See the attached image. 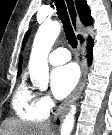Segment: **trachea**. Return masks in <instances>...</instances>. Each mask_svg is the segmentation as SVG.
<instances>
[{"mask_svg": "<svg viewBox=\"0 0 112 135\" xmlns=\"http://www.w3.org/2000/svg\"><path fill=\"white\" fill-rule=\"evenodd\" d=\"M54 3L56 6V9H57L58 17L60 18V20L63 24V29L65 32L66 39L68 40V43L73 48H76L77 47V39H76L74 30L72 28L69 16H68L66 4H65L64 0H54ZM68 7H69V5H68ZM70 7L72 9H74L73 2H70Z\"/></svg>", "mask_w": 112, "mask_h": 135, "instance_id": "3493384b", "label": "trachea"}]
</instances>
